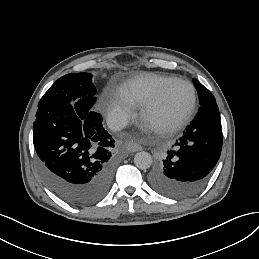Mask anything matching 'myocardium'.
<instances>
[{
	"label": "myocardium",
	"mask_w": 259,
	"mask_h": 259,
	"mask_svg": "<svg viewBox=\"0 0 259 259\" xmlns=\"http://www.w3.org/2000/svg\"><path fill=\"white\" fill-rule=\"evenodd\" d=\"M176 82H184L189 86L191 91V98L187 106L182 111L174 115L162 129L157 130L159 133H174L178 131L188 120L195 109L197 93L194 84L186 78L174 76L164 82L158 90L157 94L144 104L141 112V119H147L163 104L168 89Z\"/></svg>",
	"instance_id": "myocardium-1"
}]
</instances>
